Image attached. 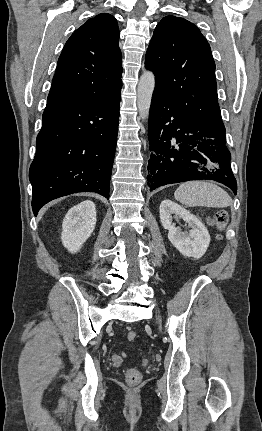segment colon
I'll list each match as a JSON object with an SVG mask.
<instances>
[{"label": "colon", "mask_w": 262, "mask_h": 431, "mask_svg": "<svg viewBox=\"0 0 262 431\" xmlns=\"http://www.w3.org/2000/svg\"><path fill=\"white\" fill-rule=\"evenodd\" d=\"M215 220H216V226L219 229L224 228L228 221V216L226 211L224 210L217 211ZM137 337H138V333L133 330L129 331L127 334V338L130 341L135 340ZM126 380L130 384H137L141 380V373L135 368H129L126 370Z\"/></svg>", "instance_id": "5ec220e1"}]
</instances>
